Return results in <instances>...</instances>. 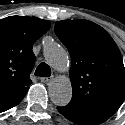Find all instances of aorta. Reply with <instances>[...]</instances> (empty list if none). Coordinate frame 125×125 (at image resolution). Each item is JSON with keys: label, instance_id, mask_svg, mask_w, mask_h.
<instances>
[{"label": "aorta", "instance_id": "762f6f07", "mask_svg": "<svg viewBox=\"0 0 125 125\" xmlns=\"http://www.w3.org/2000/svg\"><path fill=\"white\" fill-rule=\"evenodd\" d=\"M44 57L48 64L58 71H64L69 66L68 55L65 49L50 42L44 47ZM49 96L52 102L58 106L67 105L72 97V86L69 79L57 77L49 84Z\"/></svg>", "mask_w": 125, "mask_h": 125}]
</instances>
